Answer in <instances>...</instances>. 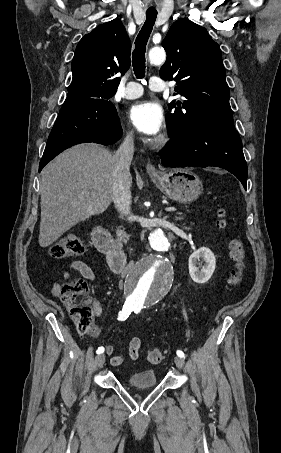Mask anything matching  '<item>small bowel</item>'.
I'll return each mask as SVG.
<instances>
[{
    "label": "small bowel",
    "mask_w": 281,
    "mask_h": 453,
    "mask_svg": "<svg viewBox=\"0 0 281 453\" xmlns=\"http://www.w3.org/2000/svg\"><path fill=\"white\" fill-rule=\"evenodd\" d=\"M73 272H79L83 276L84 279L89 280V281H94L95 277H96L93 269L91 267H89L86 263H84L83 261H81V260L71 261L68 264L66 270H64L56 275L55 280L51 285V292L56 299L60 300L62 297L63 290H64L62 287V281L70 279ZM91 308L93 309L96 317H98V318L103 317L104 312L98 301H93L91 303ZM140 348H141V339L138 337H134L131 340V342L127 348V353L122 352L121 354L112 356L109 359L110 365H113V366L120 365L121 363H123V361L125 360V358L127 356L132 361L137 360V358L139 356ZM113 350L114 349L112 346H110V345L105 346L106 353L112 354Z\"/></svg>",
    "instance_id": "c3829d8e"
}]
</instances>
